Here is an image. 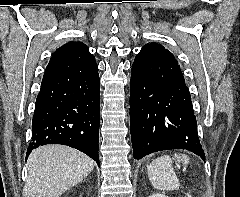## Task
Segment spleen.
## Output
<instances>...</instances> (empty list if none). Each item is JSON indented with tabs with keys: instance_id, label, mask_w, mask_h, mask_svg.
<instances>
[{
	"instance_id": "spleen-1",
	"label": "spleen",
	"mask_w": 240,
	"mask_h": 197,
	"mask_svg": "<svg viewBox=\"0 0 240 197\" xmlns=\"http://www.w3.org/2000/svg\"><path fill=\"white\" fill-rule=\"evenodd\" d=\"M175 158L188 162L189 158L185 155ZM149 180L157 190H174L180 185L172 166V158L168 155L161 156L151 162L147 168Z\"/></svg>"
}]
</instances>
